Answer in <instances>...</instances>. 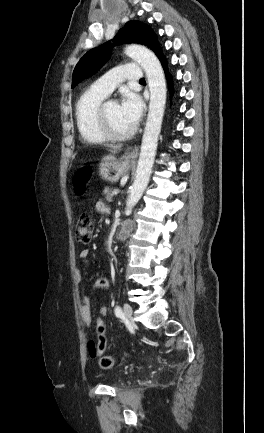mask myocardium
Listing matches in <instances>:
<instances>
[{
    "mask_svg": "<svg viewBox=\"0 0 264 433\" xmlns=\"http://www.w3.org/2000/svg\"><path fill=\"white\" fill-rule=\"evenodd\" d=\"M110 103H116V101L114 100L103 101L97 110V122L101 132L104 134V136L107 139L114 140V141H123L131 138L136 133L137 130L136 126H133L130 130L123 133L116 132L112 128L107 115V106Z\"/></svg>",
    "mask_w": 264,
    "mask_h": 433,
    "instance_id": "1",
    "label": "myocardium"
}]
</instances>
